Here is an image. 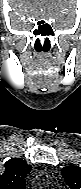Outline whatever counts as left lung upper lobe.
Returning a JSON list of instances; mask_svg holds the SVG:
<instances>
[{
	"label": "left lung upper lobe",
	"instance_id": "left-lung-upper-lobe-1",
	"mask_svg": "<svg viewBox=\"0 0 81 189\" xmlns=\"http://www.w3.org/2000/svg\"><path fill=\"white\" fill-rule=\"evenodd\" d=\"M61 174L70 189H81V168L69 165L61 170Z\"/></svg>",
	"mask_w": 81,
	"mask_h": 189
}]
</instances>
